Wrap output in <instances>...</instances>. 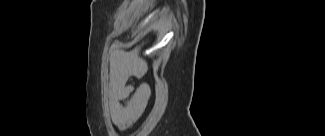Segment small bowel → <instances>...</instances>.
I'll use <instances>...</instances> for the list:
<instances>
[{
	"instance_id": "c3829d8e",
	"label": "small bowel",
	"mask_w": 325,
	"mask_h": 136,
	"mask_svg": "<svg viewBox=\"0 0 325 136\" xmlns=\"http://www.w3.org/2000/svg\"><path fill=\"white\" fill-rule=\"evenodd\" d=\"M144 68L121 51H114L110 61L109 106L115 125L128 126L147 106L151 87L147 82L137 88L129 84L132 77L141 78Z\"/></svg>"
}]
</instances>
